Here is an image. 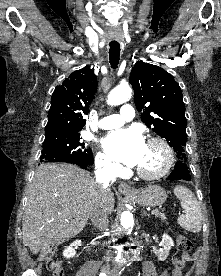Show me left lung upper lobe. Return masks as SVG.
<instances>
[{"label": "left lung upper lobe", "instance_id": "obj_1", "mask_svg": "<svg viewBox=\"0 0 221 276\" xmlns=\"http://www.w3.org/2000/svg\"><path fill=\"white\" fill-rule=\"evenodd\" d=\"M129 81L142 122L165 138L177 158L185 161L187 121L179 84L163 68L143 61L135 63Z\"/></svg>", "mask_w": 221, "mask_h": 276}]
</instances>
